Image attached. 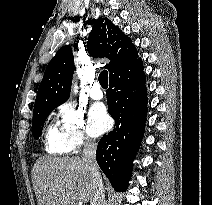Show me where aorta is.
Here are the masks:
<instances>
[{
  "mask_svg": "<svg viewBox=\"0 0 212 205\" xmlns=\"http://www.w3.org/2000/svg\"><path fill=\"white\" fill-rule=\"evenodd\" d=\"M77 85L75 84L74 86H73V91L76 93L77 92Z\"/></svg>",
  "mask_w": 212,
  "mask_h": 205,
  "instance_id": "aorta-1",
  "label": "aorta"
}]
</instances>
